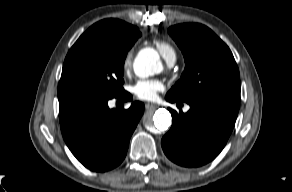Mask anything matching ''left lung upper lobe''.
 Listing matches in <instances>:
<instances>
[{
    "mask_svg": "<svg viewBox=\"0 0 292 192\" xmlns=\"http://www.w3.org/2000/svg\"><path fill=\"white\" fill-rule=\"evenodd\" d=\"M169 34L182 50L186 67L166 96L178 101L228 99L240 101V76L229 47L208 27L179 24Z\"/></svg>",
    "mask_w": 292,
    "mask_h": 192,
    "instance_id": "5c2ea615",
    "label": "left lung upper lobe"
}]
</instances>
